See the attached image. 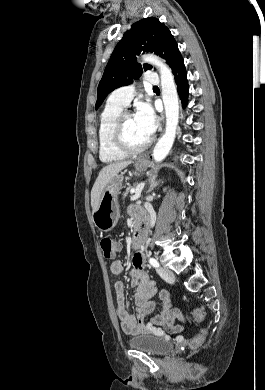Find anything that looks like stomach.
<instances>
[{
	"mask_svg": "<svg viewBox=\"0 0 265 390\" xmlns=\"http://www.w3.org/2000/svg\"><path fill=\"white\" fill-rule=\"evenodd\" d=\"M149 163L146 159L139 158L135 163V168L139 172L146 171ZM122 175L115 176L104 188L99 206L93 211V222L95 226L104 232L112 230L120 217L118 195L122 188Z\"/></svg>",
	"mask_w": 265,
	"mask_h": 390,
	"instance_id": "1",
	"label": "stomach"
}]
</instances>
